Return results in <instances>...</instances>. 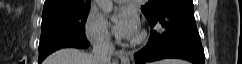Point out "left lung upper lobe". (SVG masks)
<instances>
[{
	"mask_svg": "<svg viewBox=\"0 0 242 64\" xmlns=\"http://www.w3.org/2000/svg\"><path fill=\"white\" fill-rule=\"evenodd\" d=\"M179 0H149L144 6L141 7V11L147 19L153 18L162 8Z\"/></svg>",
	"mask_w": 242,
	"mask_h": 64,
	"instance_id": "1",
	"label": "left lung upper lobe"
}]
</instances>
